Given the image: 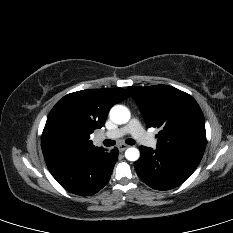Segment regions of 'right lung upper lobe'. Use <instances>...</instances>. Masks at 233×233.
Instances as JSON below:
<instances>
[{"mask_svg":"<svg viewBox=\"0 0 233 233\" xmlns=\"http://www.w3.org/2000/svg\"><path fill=\"white\" fill-rule=\"evenodd\" d=\"M128 96L123 88L89 89L64 96L47 117L41 138L44 157L102 149L93 145L90 134L104 125L110 108Z\"/></svg>","mask_w":233,"mask_h":233,"instance_id":"1","label":"right lung upper lobe"}]
</instances>
